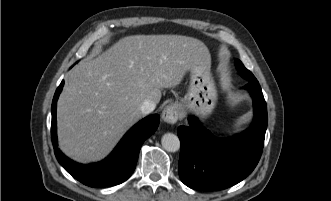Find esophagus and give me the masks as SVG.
<instances>
[{
	"label": "esophagus",
	"mask_w": 331,
	"mask_h": 201,
	"mask_svg": "<svg viewBox=\"0 0 331 201\" xmlns=\"http://www.w3.org/2000/svg\"><path fill=\"white\" fill-rule=\"evenodd\" d=\"M162 120L168 124H174L180 117V108L176 104H170L162 111Z\"/></svg>",
	"instance_id": "obj_1"
}]
</instances>
